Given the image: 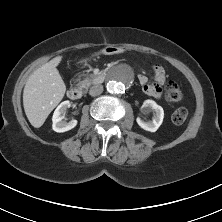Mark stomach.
I'll return each mask as SVG.
<instances>
[{
	"label": "stomach",
	"instance_id": "1",
	"mask_svg": "<svg viewBox=\"0 0 222 222\" xmlns=\"http://www.w3.org/2000/svg\"><path fill=\"white\" fill-rule=\"evenodd\" d=\"M121 52H122L121 48L109 45V46L105 47L101 53L105 54V55H113V54H117V53H121ZM87 61H88V59L84 58V59L79 60V63H85Z\"/></svg>",
	"mask_w": 222,
	"mask_h": 222
}]
</instances>
